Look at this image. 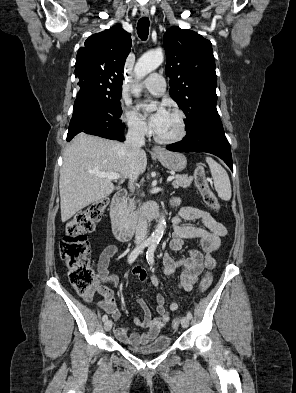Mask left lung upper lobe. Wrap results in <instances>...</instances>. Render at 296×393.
<instances>
[{
    "mask_svg": "<svg viewBox=\"0 0 296 393\" xmlns=\"http://www.w3.org/2000/svg\"><path fill=\"white\" fill-rule=\"evenodd\" d=\"M163 43L170 96L186 114L187 133L204 121L220 119L211 42L194 31L174 26L164 34Z\"/></svg>",
    "mask_w": 296,
    "mask_h": 393,
    "instance_id": "5c2ea615",
    "label": "left lung upper lobe"
}]
</instances>
